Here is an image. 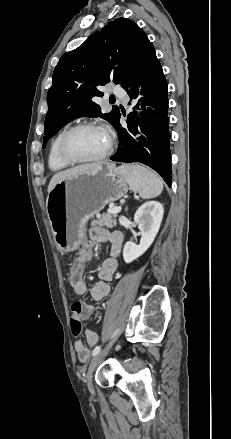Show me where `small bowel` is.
<instances>
[{"instance_id": "small-bowel-1", "label": "small bowel", "mask_w": 231, "mask_h": 439, "mask_svg": "<svg viewBox=\"0 0 231 439\" xmlns=\"http://www.w3.org/2000/svg\"><path fill=\"white\" fill-rule=\"evenodd\" d=\"M107 241L111 243L110 256L103 262L98 272V281L90 290L91 297L95 301H101L108 296L110 292L109 283L117 275L118 257L120 256L123 244L122 233L119 231L109 232L104 228H93L90 231V242L84 244L82 250L80 251L79 257L76 259L85 266V264L92 259V247ZM88 289L89 286L87 283H76L74 287L75 296L78 298H87ZM95 311L96 307L94 305L87 304L82 301L75 302L72 305V314L77 315L81 320L88 319ZM84 334L88 346L77 337H75L74 341L75 352L79 361L82 363H86L88 361L90 356V348H92L98 342V335L94 331L86 328Z\"/></svg>"}]
</instances>
